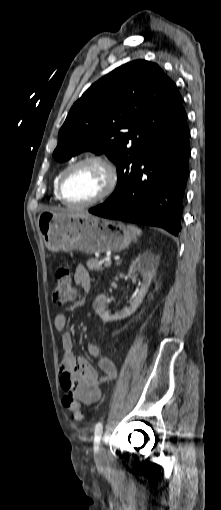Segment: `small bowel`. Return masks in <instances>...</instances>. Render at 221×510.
<instances>
[{"label": "small bowel", "instance_id": "small-bowel-1", "mask_svg": "<svg viewBox=\"0 0 221 510\" xmlns=\"http://www.w3.org/2000/svg\"><path fill=\"white\" fill-rule=\"evenodd\" d=\"M74 280L84 291L91 288V277L83 265H78L74 271ZM68 324L65 314H57L54 325L58 330H63ZM64 354L60 363V387L73 398L91 405L98 401L102 395V384L112 380L116 376L114 362L100 353L99 347L94 343L87 345L88 353L96 358L99 369L104 373L100 376L98 371L84 358L74 352V338L71 333H65L62 337Z\"/></svg>", "mask_w": 221, "mask_h": 510}]
</instances>
